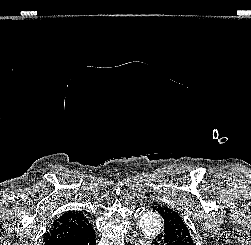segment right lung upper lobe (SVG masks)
Listing matches in <instances>:
<instances>
[{
	"mask_svg": "<svg viewBox=\"0 0 251 245\" xmlns=\"http://www.w3.org/2000/svg\"><path fill=\"white\" fill-rule=\"evenodd\" d=\"M93 230L88 219L80 212H67L54 221L43 242L81 237Z\"/></svg>",
	"mask_w": 251,
	"mask_h": 245,
	"instance_id": "right-lung-upper-lobe-1",
	"label": "right lung upper lobe"
}]
</instances>
